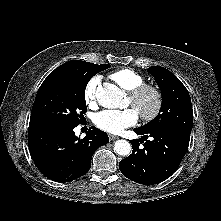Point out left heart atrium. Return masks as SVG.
<instances>
[{
	"label": "left heart atrium",
	"mask_w": 221,
	"mask_h": 221,
	"mask_svg": "<svg viewBox=\"0 0 221 221\" xmlns=\"http://www.w3.org/2000/svg\"><path fill=\"white\" fill-rule=\"evenodd\" d=\"M139 118L138 112L134 108L125 110H103L93 117V123L102 131L118 134L124 129L133 126Z\"/></svg>",
	"instance_id": "left-heart-atrium-1"
}]
</instances>
